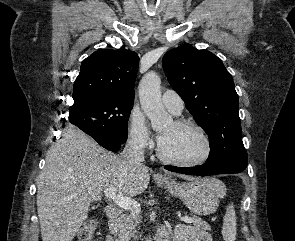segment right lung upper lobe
I'll return each instance as SVG.
<instances>
[{
  "label": "right lung upper lobe",
  "instance_id": "1",
  "mask_svg": "<svg viewBox=\"0 0 295 241\" xmlns=\"http://www.w3.org/2000/svg\"><path fill=\"white\" fill-rule=\"evenodd\" d=\"M139 57L136 52L99 49L81 64L74 82L73 99L88 97L119 98L134 101Z\"/></svg>",
  "mask_w": 295,
  "mask_h": 241
}]
</instances>
